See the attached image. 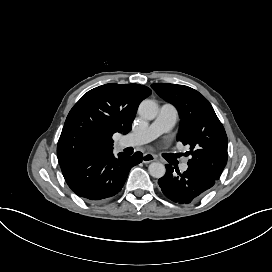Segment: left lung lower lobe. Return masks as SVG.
<instances>
[{"label":"left lung lower lobe","instance_id":"0a47b994","mask_svg":"<svg viewBox=\"0 0 272 272\" xmlns=\"http://www.w3.org/2000/svg\"><path fill=\"white\" fill-rule=\"evenodd\" d=\"M174 173V168L167 164L166 174L158 180L163 194L172 202L190 204L201 198L215 184L217 179L203 170L188 167L184 173Z\"/></svg>","mask_w":272,"mask_h":272}]
</instances>
